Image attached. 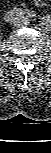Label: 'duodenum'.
Listing matches in <instances>:
<instances>
[{
	"mask_svg": "<svg viewBox=\"0 0 51 153\" xmlns=\"http://www.w3.org/2000/svg\"><path fill=\"white\" fill-rule=\"evenodd\" d=\"M33 15L34 12L30 9L13 8L5 13V19L10 20L15 17H23V16L31 17Z\"/></svg>",
	"mask_w": 51,
	"mask_h": 153,
	"instance_id": "1",
	"label": "duodenum"
}]
</instances>
